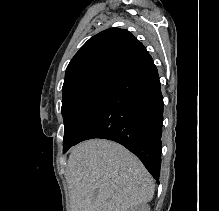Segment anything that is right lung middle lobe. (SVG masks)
Wrapping results in <instances>:
<instances>
[{"label":"right lung middle lobe","instance_id":"dd1d6c3e","mask_svg":"<svg viewBox=\"0 0 219 211\" xmlns=\"http://www.w3.org/2000/svg\"><path fill=\"white\" fill-rule=\"evenodd\" d=\"M115 85L99 84L62 100L64 120L63 152L77 139Z\"/></svg>","mask_w":219,"mask_h":211}]
</instances>
